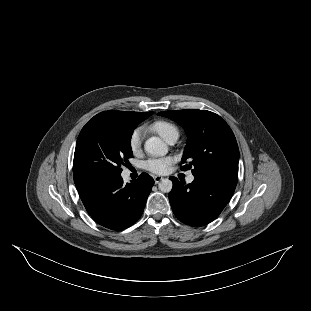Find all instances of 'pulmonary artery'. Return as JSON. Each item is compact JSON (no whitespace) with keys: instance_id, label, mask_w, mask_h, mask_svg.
Here are the masks:
<instances>
[{"instance_id":"obj_1","label":"pulmonary artery","mask_w":311,"mask_h":311,"mask_svg":"<svg viewBox=\"0 0 311 311\" xmlns=\"http://www.w3.org/2000/svg\"><path fill=\"white\" fill-rule=\"evenodd\" d=\"M175 142H176V139H171L170 141H168V143H170V144H173V143H175ZM187 181H188L189 183L193 182V181H194V176H193V175H190V176L187 178Z\"/></svg>"}]
</instances>
